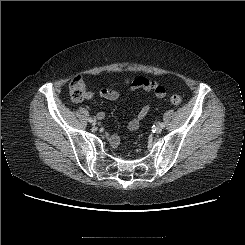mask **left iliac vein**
<instances>
[{
    "mask_svg": "<svg viewBox=\"0 0 245 245\" xmlns=\"http://www.w3.org/2000/svg\"><path fill=\"white\" fill-rule=\"evenodd\" d=\"M162 129H163V128L159 125V126L156 127L155 132H156L157 134H159V133L162 132Z\"/></svg>",
    "mask_w": 245,
    "mask_h": 245,
    "instance_id": "1",
    "label": "left iliac vein"
}]
</instances>
